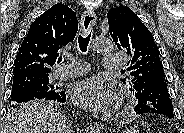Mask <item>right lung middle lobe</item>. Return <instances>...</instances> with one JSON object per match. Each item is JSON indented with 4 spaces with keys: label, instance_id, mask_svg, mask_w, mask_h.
<instances>
[{
    "label": "right lung middle lobe",
    "instance_id": "dd1d6c3e",
    "mask_svg": "<svg viewBox=\"0 0 184 133\" xmlns=\"http://www.w3.org/2000/svg\"><path fill=\"white\" fill-rule=\"evenodd\" d=\"M57 91L49 84L48 75L22 73L14 75L11 100L20 95L49 96ZM17 104L13 108L20 106Z\"/></svg>",
    "mask_w": 184,
    "mask_h": 133
}]
</instances>
